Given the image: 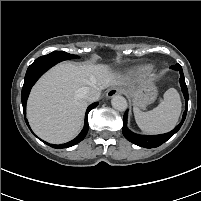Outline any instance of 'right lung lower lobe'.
I'll use <instances>...</instances> for the list:
<instances>
[{"instance_id":"obj_1","label":"right lung lower lobe","mask_w":201,"mask_h":201,"mask_svg":"<svg viewBox=\"0 0 201 201\" xmlns=\"http://www.w3.org/2000/svg\"><path fill=\"white\" fill-rule=\"evenodd\" d=\"M61 61H63L62 58H56L53 56H41V57L37 58L28 67L26 75H25L24 85L22 88V105H23L24 114L26 113V101H27V98H28V95L30 93L32 86L35 84V82L39 79V77L44 72H46L49 68H51L52 66H54L55 64H57L58 62H61ZM97 105H98V102H95L87 108L86 115H85L84 128L75 139H73L72 141L67 142L65 144H60V145H54V144H49V143H47V144L53 148H67V147H71V146L79 143L80 141H82L88 132V113L91 109L95 108ZM25 121H26L27 125L29 126L26 118H25ZM43 142L46 143L45 141H43Z\"/></svg>"}]
</instances>
